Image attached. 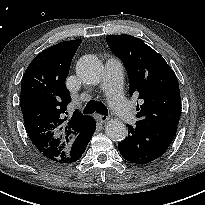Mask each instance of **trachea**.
I'll return each instance as SVG.
<instances>
[{"label": "trachea", "instance_id": "3493384b", "mask_svg": "<svg viewBox=\"0 0 205 205\" xmlns=\"http://www.w3.org/2000/svg\"><path fill=\"white\" fill-rule=\"evenodd\" d=\"M95 111L102 114V115H107L108 114V109L103 103L97 102V101H94V100H90L87 103V105L85 106L83 112L85 114H91Z\"/></svg>", "mask_w": 205, "mask_h": 205}]
</instances>
